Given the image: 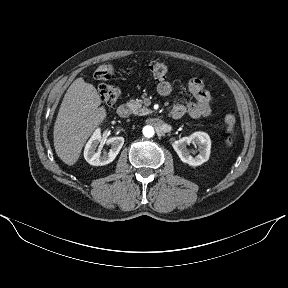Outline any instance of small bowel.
<instances>
[{
	"label": "small bowel",
	"mask_w": 288,
	"mask_h": 288,
	"mask_svg": "<svg viewBox=\"0 0 288 288\" xmlns=\"http://www.w3.org/2000/svg\"><path fill=\"white\" fill-rule=\"evenodd\" d=\"M158 93L161 96L172 94L173 86L169 81H161L157 86ZM188 90L194 96L195 100L186 103H176L172 109V116L179 119L185 115L192 118H200L211 114L212 96L207 90L203 80L193 78L188 83Z\"/></svg>",
	"instance_id": "obj_1"
}]
</instances>
